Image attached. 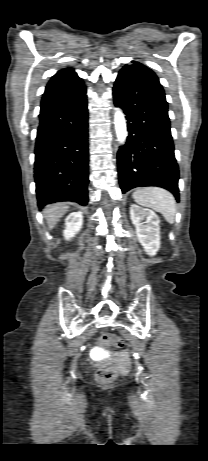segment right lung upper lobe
<instances>
[{"mask_svg":"<svg viewBox=\"0 0 208 461\" xmlns=\"http://www.w3.org/2000/svg\"><path fill=\"white\" fill-rule=\"evenodd\" d=\"M85 92L86 86L73 68L61 69L49 80L41 100L40 111L75 101Z\"/></svg>","mask_w":208,"mask_h":461,"instance_id":"obj_1","label":"right lung upper lobe"}]
</instances>
